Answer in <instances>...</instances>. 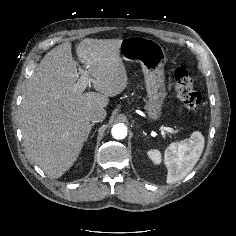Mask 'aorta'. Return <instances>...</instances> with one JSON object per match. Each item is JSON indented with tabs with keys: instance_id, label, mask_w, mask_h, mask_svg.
Wrapping results in <instances>:
<instances>
[{
	"instance_id": "1",
	"label": "aorta",
	"mask_w": 236,
	"mask_h": 236,
	"mask_svg": "<svg viewBox=\"0 0 236 236\" xmlns=\"http://www.w3.org/2000/svg\"><path fill=\"white\" fill-rule=\"evenodd\" d=\"M111 132L115 139L121 140L127 136V127L122 123H118L113 126Z\"/></svg>"
}]
</instances>
